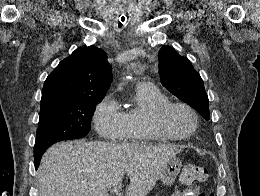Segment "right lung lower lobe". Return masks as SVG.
I'll use <instances>...</instances> for the list:
<instances>
[{
  "label": "right lung lower lobe",
  "mask_w": 260,
  "mask_h": 196,
  "mask_svg": "<svg viewBox=\"0 0 260 196\" xmlns=\"http://www.w3.org/2000/svg\"><path fill=\"white\" fill-rule=\"evenodd\" d=\"M46 149L47 148L34 150V157H35V166H36V168L38 167V165L40 163V159H41L43 153L46 151Z\"/></svg>",
  "instance_id": "1"
}]
</instances>
